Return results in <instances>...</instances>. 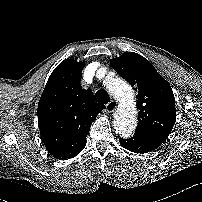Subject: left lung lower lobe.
<instances>
[{
  "instance_id": "left-lung-lower-lobe-1",
  "label": "left lung lower lobe",
  "mask_w": 202,
  "mask_h": 202,
  "mask_svg": "<svg viewBox=\"0 0 202 202\" xmlns=\"http://www.w3.org/2000/svg\"><path fill=\"white\" fill-rule=\"evenodd\" d=\"M122 147L136 153H147L158 148L165 140L158 137L134 134L128 139H119Z\"/></svg>"
}]
</instances>
